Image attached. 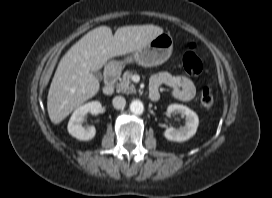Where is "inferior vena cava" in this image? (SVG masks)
<instances>
[{"label":"inferior vena cava","instance_id":"inferior-vena-cava-1","mask_svg":"<svg viewBox=\"0 0 272 198\" xmlns=\"http://www.w3.org/2000/svg\"><path fill=\"white\" fill-rule=\"evenodd\" d=\"M112 103H113L114 108L122 109L126 105V100L122 96H116V97L113 98Z\"/></svg>","mask_w":272,"mask_h":198}]
</instances>
